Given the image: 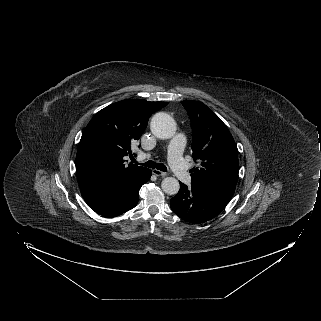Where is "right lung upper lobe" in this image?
I'll use <instances>...</instances> for the list:
<instances>
[{
	"instance_id": "obj_1",
	"label": "right lung upper lobe",
	"mask_w": 321,
	"mask_h": 321,
	"mask_svg": "<svg viewBox=\"0 0 321 321\" xmlns=\"http://www.w3.org/2000/svg\"><path fill=\"white\" fill-rule=\"evenodd\" d=\"M166 102L127 99L100 110L86 126L75 165L81 188L103 180L135 176L147 168L125 166L132 142L146 129L150 116Z\"/></svg>"
}]
</instances>
